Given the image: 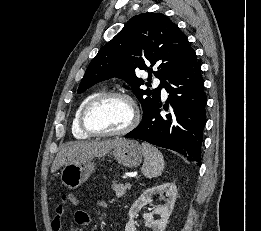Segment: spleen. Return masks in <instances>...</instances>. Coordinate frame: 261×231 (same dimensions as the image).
Returning a JSON list of instances; mask_svg holds the SVG:
<instances>
[{"mask_svg":"<svg viewBox=\"0 0 261 231\" xmlns=\"http://www.w3.org/2000/svg\"><path fill=\"white\" fill-rule=\"evenodd\" d=\"M144 163L141 168L143 175L147 178H156L164 169V160L161 152L154 146L142 143Z\"/></svg>","mask_w":261,"mask_h":231,"instance_id":"1","label":"spleen"}]
</instances>
